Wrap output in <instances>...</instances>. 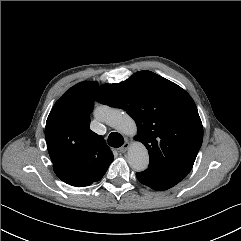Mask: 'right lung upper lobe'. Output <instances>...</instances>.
<instances>
[{
  "label": "right lung upper lobe",
  "mask_w": 241,
  "mask_h": 241,
  "mask_svg": "<svg viewBox=\"0 0 241 241\" xmlns=\"http://www.w3.org/2000/svg\"><path fill=\"white\" fill-rule=\"evenodd\" d=\"M98 83L84 81L71 87L52 108L45 138L53 168L98 179L113 161V154L101 135L90 130Z\"/></svg>",
  "instance_id": "right-lung-upper-lobe-1"
}]
</instances>
